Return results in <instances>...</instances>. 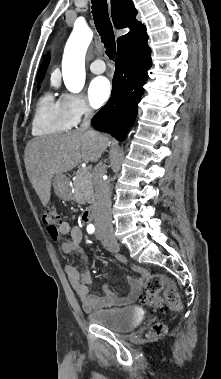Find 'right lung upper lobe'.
<instances>
[{
  "label": "right lung upper lobe",
  "mask_w": 221,
  "mask_h": 379,
  "mask_svg": "<svg viewBox=\"0 0 221 379\" xmlns=\"http://www.w3.org/2000/svg\"><path fill=\"white\" fill-rule=\"evenodd\" d=\"M112 7V19L116 28L121 29L124 27H129L131 30L128 34L123 35L117 39V44L123 43L129 37L139 33L145 26L138 22L135 17L137 15V10L131 0H111ZM49 64V55L45 58L41 64L38 74L37 81L41 82L45 74L46 68Z\"/></svg>",
  "instance_id": "right-lung-upper-lobe-1"
}]
</instances>
